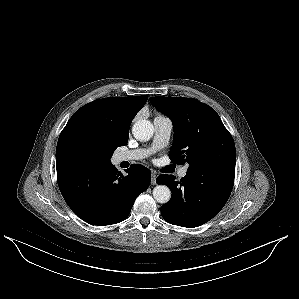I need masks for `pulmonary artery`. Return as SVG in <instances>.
<instances>
[{
  "label": "pulmonary artery",
  "instance_id": "pulmonary-artery-1",
  "mask_svg": "<svg viewBox=\"0 0 299 299\" xmlns=\"http://www.w3.org/2000/svg\"><path fill=\"white\" fill-rule=\"evenodd\" d=\"M154 125V139L150 149H135L131 151L122 152L118 155V160L122 161H135L147 157L151 152L163 148L169 141L173 125L172 121L165 116H156L153 120ZM187 174V167L179 170L178 176L185 177Z\"/></svg>",
  "mask_w": 299,
  "mask_h": 299
}]
</instances>
